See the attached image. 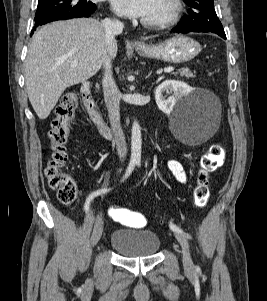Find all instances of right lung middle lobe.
<instances>
[{
    "label": "right lung middle lobe",
    "instance_id": "right-lung-middle-lobe-1",
    "mask_svg": "<svg viewBox=\"0 0 267 301\" xmlns=\"http://www.w3.org/2000/svg\"><path fill=\"white\" fill-rule=\"evenodd\" d=\"M95 9L96 5L89 0H39L35 21L53 13H82Z\"/></svg>",
    "mask_w": 267,
    "mask_h": 301
}]
</instances>
